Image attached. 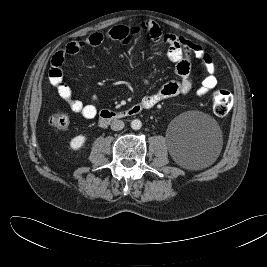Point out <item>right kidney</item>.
I'll return each instance as SVG.
<instances>
[{
	"label": "right kidney",
	"instance_id": "right-kidney-1",
	"mask_svg": "<svg viewBox=\"0 0 267 267\" xmlns=\"http://www.w3.org/2000/svg\"><path fill=\"white\" fill-rule=\"evenodd\" d=\"M84 143H85V136L79 135V136L74 137L71 140L70 147L73 150H78L79 148H81L83 146Z\"/></svg>",
	"mask_w": 267,
	"mask_h": 267
}]
</instances>
